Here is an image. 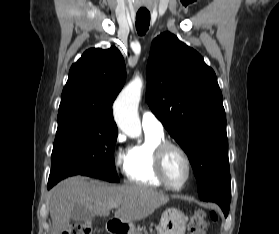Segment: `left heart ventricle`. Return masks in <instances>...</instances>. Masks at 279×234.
<instances>
[{
    "mask_svg": "<svg viewBox=\"0 0 279 234\" xmlns=\"http://www.w3.org/2000/svg\"><path fill=\"white\" fill-rule=\"evenodd\" d=\"M165 173L168 181L174 185H180L186 177V163L181 154L175 150L169 151L166 156Z\"/></svg>",
    "mask_w": 279,
    "mask_h": 234,
    "instance_id": "left-heart-ventricle-1",
    "label": "left heart ventricle"
}]
</instances>
